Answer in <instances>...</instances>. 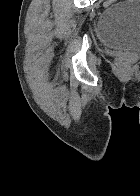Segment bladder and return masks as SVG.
Wrapping results in <instances>:
<instances>
[{"label": "bladder", "instance_id": "31cf9c89", "mask_svg": "<svg viewBox=\"0 0 140 196\" xmlns=\"http://www.w3.org/2000/svg\"><path fill=\"white\" fill-rule=\"evenodd\" d=\"M98 35L109 48L140 51V0L107 7L98 20Z\"/></svg>", "mask_w": 140, "mask_h": 196}]
</instances>
